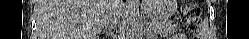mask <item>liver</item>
<instances>
[{
  "mask_svg": "<svg viewBox=\"0 0 249 39\" xmlns=\"http://www.w3.org/2000/svg\"><path fill=\"white\" fill-rule=\"evenodd\" d=\"M114 0H39V39H95L112 11ZM122 2L117 5L120 13Z\"/></svg>",
  "mask_w": 249,
  "mask_h": 39,
  "instance_id": "obj_1",
  "label": "liver"
}]
</instances>
